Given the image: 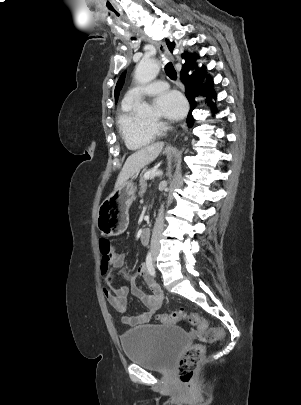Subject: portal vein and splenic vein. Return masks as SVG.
<instances>
[{
    "label": "portal vein and splenic vein",
    "mask_w": 301,
    "mask_h": 405,
    "mask_svg": "<svg viewBox=\"0 0 301 405\" xmlns=\"http://www.w3.org/2000/svg\"><path fill=\"white\" fill-rule=\"evenodd\" d=\"M144 177H145L146 179H149V178H150V175L146 173V174L144 175Z\"/></svg>",
    "instance_id": "obj_1"
}]
</instances>
